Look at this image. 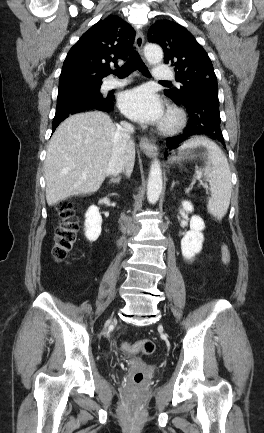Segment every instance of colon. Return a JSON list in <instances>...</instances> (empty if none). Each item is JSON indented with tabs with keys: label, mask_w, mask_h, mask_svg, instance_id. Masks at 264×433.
<instances>
[{
	"label": "colon",
	"mask_w": 264,
	"mask_h": 433,
	"mask_svg": "<svg viewBox=\"0 0 264 433\" xmlns=\"http://www.w3.org/2000/svg\"><path fill=\"white\" fill-rule=\"evenodd\" d=\"M56 210L59 226L55 233L52 254L56 261H62L72 251L77 241L79 223L71 201H61ZM221 258L225 265L231 261L230 249L225 243L221 247ZM122 349L130 354H151L154 352L155 344L150 339H143L133 343L125 342L122 344Z\"/></svg>",
	"instance_id": "1"
}]
</instances>
